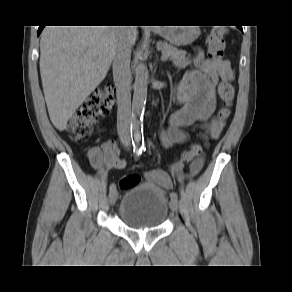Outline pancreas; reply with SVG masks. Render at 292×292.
Wrapping results in <instances>:
<instances>
[{
    "label": "pancreas",
    "mask_w": 292,
    "mask_h": 292,
    "mask_svg": "<svg viewBox=\"0 0 292 292\" xmlns=\"http://www.w3.org/2000/svg\"><path fill=\"white\" fill-rule=\"evenodd\" d=\"M157 48L161 50L163 55L169 57L172 61H182L187 55L186 51L179 50L173 45L162 41L157 43Z\"/></svg>",
    "instance_id": "obj_1"
}]
</instances>
